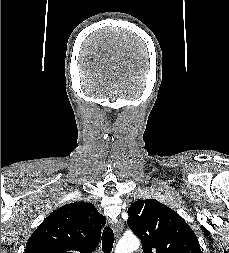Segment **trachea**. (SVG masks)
Here are the masks:
<instances>
[{
	"label": "trachea",
	"mask_w": 229,
	"mask_h": 253,
	"mask_svg": "<svg viewBox=\"0 0 229 253\" xmlns=\"http://www.w3.org/2000/svg\"><path fill=\"white\" fill-rule=\"evenodd\" d=\"M114 244V233L109 226L105 227L102 233V250L104 253H111Z\"/></svg>",
	"instance_id": "3493384b"
}]
</instances>
